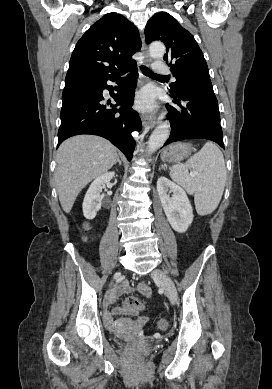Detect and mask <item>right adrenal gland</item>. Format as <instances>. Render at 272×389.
Masks as SVG:
<instances>
[{
    "instance_id": "1",
    "label": "right adrenal gland",
    "mask_w": 272,
    "mask_h": 389,
    "mask_svg": "<svg viewBox=\"0 0 272 389\" xmlns=\"http://www.w3.org/2000/svg\"><path fill=\"white\" fill-rule=\"evenodd\" d=\"M116 163H118L119 165H121V160H120L119 156H117V161H116ZM116 163H115V164H116Z\"/></svg>"
}]
</instances>
